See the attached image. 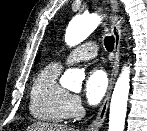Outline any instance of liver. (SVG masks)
Segmentation results:
<instances>
[{
  "label": "liver",
  "mask_w": 147,
  "mask_h": 131,
  "mask_svg": "<svg viewBox=\"0 0 147 131\" xmlns=\"http://www.w3.org/2000/svg\"><path fill=\"white\" fill-rule=\"evenodd\" d=\"M27 131H75L67 126L50 124L45 122H36L27 128Z\"/></svg>",
  "instance_id": "liver-1"
}]
</instances>
